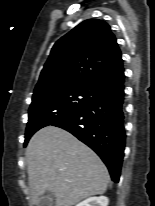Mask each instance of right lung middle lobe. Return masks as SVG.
Listing matches in <instances>:
<instances>
[{
    "label": "right lung middle lobe",
    "instance_id": "obj_1",
    "mask_svg": "<svg viewBox=\"0 0 155 206\" xmlns=\"http://www.w3.org/2000/svg\"><path fill=\"white\" fill-rule=\"evenodd\" d=\"M100 93L101 91L89 86L75 85L33 94L24 146L36 131L70 117Z\"/></svg>",
    "mask_w": 155,
    "mask_h": 206
}]
</instances>
